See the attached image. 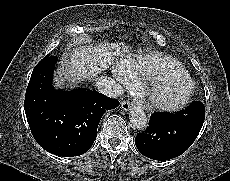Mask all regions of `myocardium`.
Masks as SVG:
<instances>
[{"instance_id": "f54148a6", "label": "myocardium", "mask_w": 230, "mask_h": 181, "mask_svg": "<svg viewBox=\"0 0 230 181\" xmlns=\"http://www.w3.org/2000/svg\"><path fill=\"white\" fill-rule=\"evenodd\" d=\"M182 79L186 82L187 88L178 98L165 99L159 92L171 81ZM195 91V82L192 77L182 70L175 73H163L147 80L140 87V92L146 97L149 105L157 111L173 112L183 108L192 98Z\"/></svg>"}]
</instances>
